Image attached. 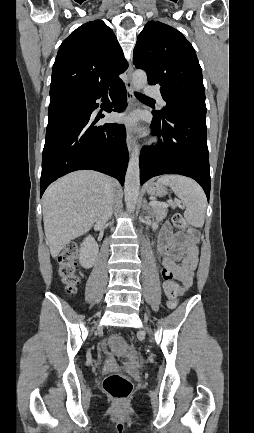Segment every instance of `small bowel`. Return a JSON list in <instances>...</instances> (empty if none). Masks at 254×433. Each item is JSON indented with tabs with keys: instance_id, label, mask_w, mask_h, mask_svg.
<instances>
[{
	"instance_id": "c3829d8e",
	"label": "small bowel",
	"mask_w": 254,
	"mask_h": 433,
	"mask_svg": "<svg viewBox=\"0 0 254 433\" xmlns=\"http://www.w3.org/2000/svg\"><path fill=\"white\" fill-rule=\"evenodd\" d=\"M159 252L162 259L163 274L169 271L173 279L178 280L181 287V295L193 284V274L197 266L198 249L193 244L184 245L179 236L173 233L169 224L163 226L159 235ZM182 259L181 265L176 261ZM167 282L164 281L163 289L166 291ZM131 356H135V349H131ZM109 365L114 364L113 359L108 360Z\"/></svg>"
}]
</instances>
